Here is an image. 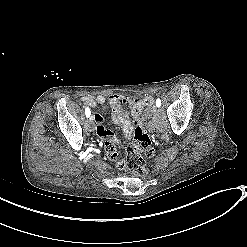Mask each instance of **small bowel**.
<instances>
[{"mask_svg":"<svg viewBox=\"0 0 247 247\" xmlns=\"http://www.w3.org/2000/svg\"><path fill=\"white\" fill-rule=\"evenodd\" d=\"M81 101L84 106L95 107L96 105H102L105 109L111 111V116L113 121L120 126L125 137H130L133 131V125L130 121L129 114L124 111L122 105L124 102H127V105H131V111L133 113H139L141 107L151 106L155 99L151 96H147L143 99H138L134 97H129L127 99H122L119 95L111 96H83ZM127 109H130V106H127ZM94 118V123L98 125L96 136L98 138H103L108 143L106 144V151L110 164L113 170L118 171L121 168V163L117 158L114 146L120 144V139L113 134L111 131H107L106 120L101 115H96Z\"/></svg>","mask_w":247,"mask_h":247,"instance_id":"c3829d8e","label":"small bowel"}]
</instances>
